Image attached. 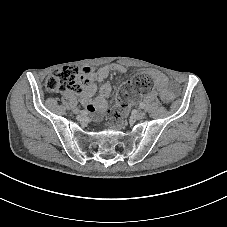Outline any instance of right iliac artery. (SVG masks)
<instances>
[{
    "instance_id": "right-iliac-artery-1",
    "label": "right iliac artery",
    "mask_w": 227,
    "mask_h": 227,
    "mask_svg": "<svg viewBox=\"0 0 227 227\" xmlns=\"http://www.w3.org/2000/svg\"><path fill=\"white\" fill-rule=\"evenodd\" d=\"M80 115L83 118H86L87 116H89V111H87L86 109H83L82 111H80Z\"/></svg>"
}]
</instances>
